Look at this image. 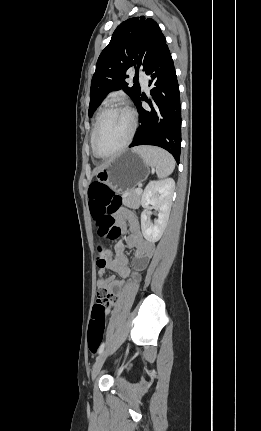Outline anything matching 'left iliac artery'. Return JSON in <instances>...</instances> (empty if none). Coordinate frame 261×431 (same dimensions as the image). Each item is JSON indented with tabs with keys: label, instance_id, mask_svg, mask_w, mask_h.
Listing matches in <instances>:
<instances>
[{
	"label": "left iliac artery",
	"instance_id": "left-iliac-artery-1",
	"mask_svg": "<svg viewBox=\"0 0 261 431\" xmlns=\"http://www.w3.org/2000/svg\"><path fill=\"white\" fill-rule=\"evenodd\" d=\"M104 347H105V343H102L101 346L99 347L98 354H101L103 352Z\"/></svg>",
	"mask_w": 261,
	"mask_h": 431
}]
</instances>
